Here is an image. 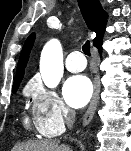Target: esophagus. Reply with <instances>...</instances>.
Segmentation results:
<instances>
[{"instance_id": "34e87169", "label": "esophagus", "mask_w": 131, "mask_h": 151, "mask_svg": "<svg viewBox=\"0 0 131 151\" xmlns=\"http://www.w3.org/2000/svg\"><path fill=\"white\" fill-rule=\"evenodd\" d=\"M99 93H100V82H99L98 77H96L94 79L93 97H92L91 102L87 108V111L83 117V126L84 127L87 126L91 122V120L96 112L97 105L99 102Z\"/></svg>"}]
</instances>
